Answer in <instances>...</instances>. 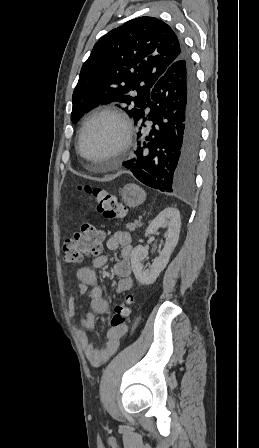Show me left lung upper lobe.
Here are the masks:
<instances>
[{
    "label": "left lung upper lobe",
    "instance_id": "1",
    "mask_svg": "<svg viewBox=\"0 0 259 448\" xmlns=\"http://www.w3.org/2000/svg\"><path fill=\"white\" fill-rule=\"evenodd\" d=\"M183 55L172 28L155 17H139L99 39L83 64L72 96V122L101 104L118 102L133 117L146 108L150 92Z\"/></svg>",
    "mask_w": 259,
    "mask_h": 448
}]
</instances>
